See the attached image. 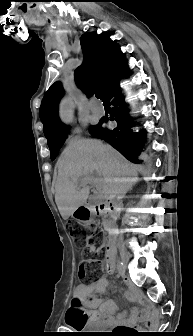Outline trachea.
I'll return each instance as SVG.
<instances>
[{"label":"trachea","mask_w":193,"mask_h":336,"mask_svg":"<svg viewBox=\"0 0 193 336\" xmlns=\"http://www.w3.org/2000/svg\"><path fill=\"white\" fill-rule=\"evenodd\" d=\"M96 97L100 100H103V96L100 92H96Z\"/></svg>","instance_id":"trachea-1"}]
</instances>
